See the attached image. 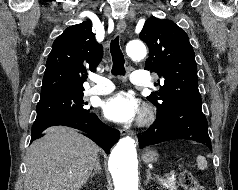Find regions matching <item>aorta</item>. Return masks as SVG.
<instances>
[{
    "label": "aorta",
    "instance_id": "aorta-1",
    "mask_svg": "<svg viewBox=\"0 0 238 190\" xmlns=\"http://www.w3.org/2000/svg\"><path fill=\"white\" fill-rule=\"evenodd\" d=\"M128 56L134 61L146 57L147 51L140 40L126 46ZM138 161L134 139L129 136L119 140L109 157V169L114 180V190H138Z\"/></svg>",
    "mask_w": 238,
    "mask_h": 190
}]
</instances>
